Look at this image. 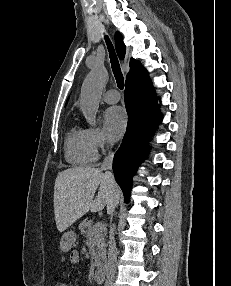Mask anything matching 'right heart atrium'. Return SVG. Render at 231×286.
<instances>
[{"instance_id": "right-heart-atrium-1", "label": "right heart atrium", "mask_w": 231, "mask_h": 286, "mask_svg": "<svg viewBox=\"0 0 231 286\" xmlns=\"http://www.w3.org/2000/svg\"><path fill=\"white\" fill-rule=\"evenodd\" d=\"M89 140L93 148L98 151H105L110 143L105 133L98 127H90L87 129Z\"/></svg>"}]
</instances>
